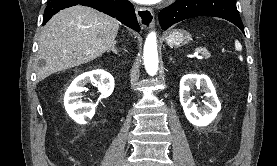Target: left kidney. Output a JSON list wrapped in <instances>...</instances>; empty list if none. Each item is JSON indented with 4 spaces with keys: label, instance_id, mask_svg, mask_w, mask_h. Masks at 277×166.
<instances>
[{
    "label": "left kidney",
    "instance_id": "5707ae66",
    "mask_svg": "<svg viewBox=\"0 0 277 166\" xmlns=\"http://www.w3.org/2000/svg\"><path fill=\"white\" fill-rule=\"evenodd\" d=\"M202 88L205 92L206 101L202 107H197L192 103L190 90L194 86ZM180 103L188 121L198 127L209 125L221 110V104L216 95L215 88L206 75L187 74L184 75L180 81Z\"/></svg>",
    "mask_w": 277,
    "mask_h": 166
}]
</instances>
